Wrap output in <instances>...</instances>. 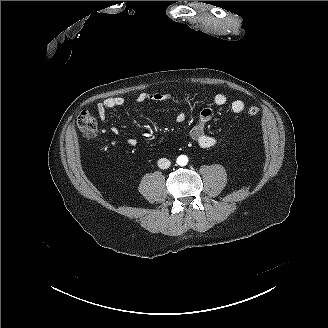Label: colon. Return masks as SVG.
<instances>
[{"label":"colon","mask_w":328,"mask_h":328,"mask_svg":"<svg viewBox=\"0 0 328 328\" xmlns=\"http://www.w3.org/2000/svg\"><path fill=\"white\" fill-rule=\"evenodd\" d=\"M247 114L252 117L257 116L259 114V108L251 106L247 109ZM77 125L83 136L87 138H92L97 133V122L89 112L83 111L79 114Z\"/></svg>","instance_id":"colon-1"}]
</instances>
